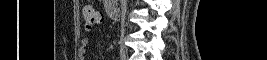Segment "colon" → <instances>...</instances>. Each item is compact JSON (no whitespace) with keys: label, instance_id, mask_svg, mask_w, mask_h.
Listing matches in <instances>:
<instances>
[{"label":"colon","instance_id":"5ec220e1","mask_svg":"<svg viewBox=\"0 0 267 60\" xmlns=\"http://www.w3.org/2000/svg\"><path fill=\"white\" fill-rule=\"evenodd\" d=\"M102 20V14L92 6L83 9V27L86 31H91L97 27Z\"/></svg>","mask_w":267,"mask_h":60}]
</instances>
